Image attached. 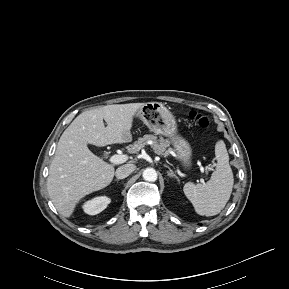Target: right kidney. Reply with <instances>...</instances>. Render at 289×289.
I'll list each match as a JSON object with an SVG mask.
<instances>
[{
    "mask_svg": "<svg viewBox=\"0 0 289 289\" xmlns=\"http://www.w3.org/2000/svg\"><path fill=\"white\" fill-rule=\"evenodd\" d=\"M110 198L106 196L96 197L92 200L87 201L83 205L84 212L89 215H96L102 212L110 203Z\"/></svg>",
    "mask_w": 289,
    "mask_h": 289,
    "instance_id": "right-kidney-1",
    "label": "right kidney"
}]
</instances>
